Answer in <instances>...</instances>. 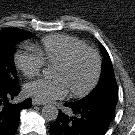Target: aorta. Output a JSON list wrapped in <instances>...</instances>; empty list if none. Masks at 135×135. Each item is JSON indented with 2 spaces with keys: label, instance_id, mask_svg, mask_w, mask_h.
<instances>
[{
  "label": "aorta",
  "instance_id": "1",
  "mask_svg": "<svg viewBox=\"0 0 135 135\" xmlns=\"http://www.w3.org/2000/svg\"><path fill=\"white\" fill-rule=\"evenodd\" d=\"M42 116L47 121H55L58 116V109L52 104H47L42 108Z\"/></svg>",
  "mask_w": 135,
  "mask_h": 135
}]
</instances>
